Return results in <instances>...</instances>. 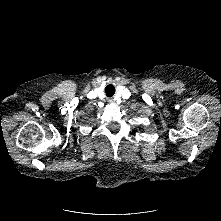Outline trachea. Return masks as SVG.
I'll list each match as a JSON object with an SVG mask.
<instances>
[{
    "label": "trachea",
    "mask_w": 221,
    "mask_h": 221,
    "mask_svg": "<svg viewBox=\"0 0 221 221\" xmlns=\"http://www.w3.org/2000/svg\"><path fill=\"white\" fill-rule=\"evenodd\" d=\"M105 93L107 96H113L115 94V87L109 84L105 87Z\"/></svg>",
    "instance_id": "1"
}]
</instances>
